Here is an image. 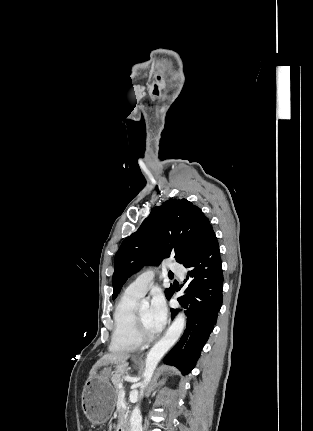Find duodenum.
I'll list each match as a JSON object with an SVG mask.
<instances>
[{"mask_svg": "<svg viewBox=\"0 0 313 431\" xmlns=\"http://www.w3.org/2000/svg\"><path fill=\"white\" fill-rule=\"evenodd\" d=\"M118 431H130V424L128 420H123L118 427Z\"/></svg>", "mask_w": 313, "mask_h": 431, "instance_id": "1", "label": "duodenum"}]
</instances>
